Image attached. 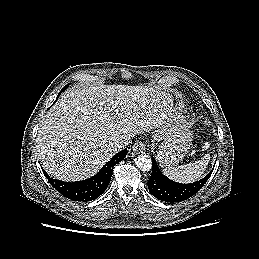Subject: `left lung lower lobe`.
I'll return each mask as SVG.
<instances>
[{
	"instance_id": "0a47b994",
	"label": "left lung lower lobe",
	"mask_w": 259,
	"mask_h": 259,
	"mask_svg": "<svg viewBox=\"0 0 259 259\" xmlns=\"http://www.w3.org/2000/svg\"><path fill=\"white\" fill-rule=\"evenodd\" d=\"M152 163V174L148 180V188L154 197L165 202H180L190 198L203 187L211 175L210 172L203 179L197 182L181 184L164 176L153 157Z\"/></svg>"
}]
</instances>
